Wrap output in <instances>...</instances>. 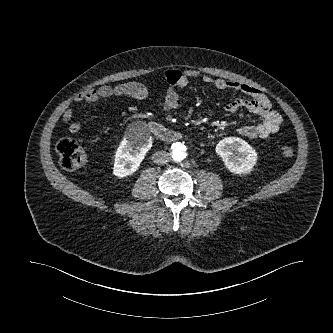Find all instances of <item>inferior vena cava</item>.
Masks as SVG:
<instances>
[{"label":"inferior vena cava","mask_w":333,"mask_h":333,"mask_svg":"<svg viewBox=\"0 0 333 333\" xmlns=\"http://www.w3.org/2000/svg\"><path fill=\"white\" fill-rule=\"evenodd\" d=\"M170 160V155L167 151H157L153 155V161L156 164H165Z\"/></svg>","instance_id":"1"}]
</instances>
